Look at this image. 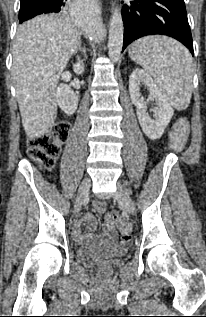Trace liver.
<instances>
[{
	"label": "liver",
	"mask_w": 206,
	"mask_h": 317,
	"mask_svg": "<svg viewBox=\"0 0 206 317\" xmlns=\"http://www.w3.org/2000/svg\"><path fill=\"white\" fill-rule=\"evenodd\" d=\"M80 43V32L66 14L38 16L19 27L12 76L28 138H38L52 127L59 77Z\"/></svg>",
	"instance_id": "1"
}]
</instances>
